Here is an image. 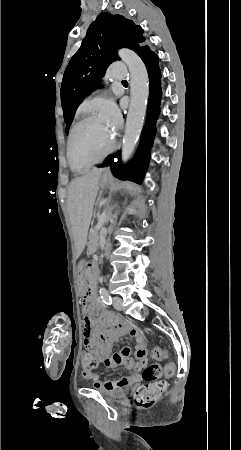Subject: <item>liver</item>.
I'll return each mask as SVG.
<instances>
[{
	"label": "liver",
	"mask_w": 241,
	"mask_h": 450,
	"mask_svg": "<svg viewBox=\"0 0 241 450\" xmlns=\"http://www.w3.org/2000/svg\"><path fill=\"white\" fill-rule=\"evenodd\" d=\"M102 172V168L100 170H92L89 174H85L82 178H76V180L71 182L68 192L70 216L72 220L75 218L79 226L86 222L88 228L91 222Z\"/></svg>",
	"instance_id": "liver-1"
}]
</instances>
